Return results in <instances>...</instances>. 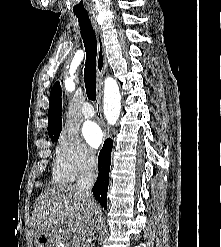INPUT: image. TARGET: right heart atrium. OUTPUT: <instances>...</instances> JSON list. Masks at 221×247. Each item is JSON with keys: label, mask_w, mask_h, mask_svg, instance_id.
<instances>
[{"label": "right heart atrium", "mask_w": 221, "mask_h": 247, "mask_svg": "<svg viewBox=\"0 0 221 247\" xmlns=\"http://www.w3.org/2000/svg\"><path fill=\"white\" fill-rule=\"evenodd\" d=\"M94 162V152L83 143L78 133L71 128H64L55 147L54 179L60 183L72 182L91 169Z\"/></svg>", "instance_id": "obj_1"}]
</instances>
